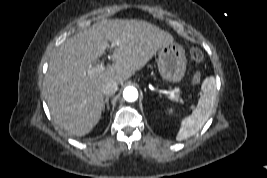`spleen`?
<instances>
[{"label":"spleen","instance_id":"obj_1","mask_svg":"<svg viewBox=\"0 0 267 178\" xmlns=\"http://www.w3.org/2000/svg\"><path fill=\"white\" fill-rule=\"evenodd\" d=\"M216 98V86L213 77L206 78L202 83V94L198 100L197 107L192 114L185 117L176 136L177 141H182L195 135L209 119ZM173 113V109H168Z\"/></svg>","mask_w":267,"mask_h":178}]
</instances>
